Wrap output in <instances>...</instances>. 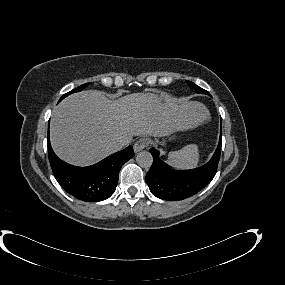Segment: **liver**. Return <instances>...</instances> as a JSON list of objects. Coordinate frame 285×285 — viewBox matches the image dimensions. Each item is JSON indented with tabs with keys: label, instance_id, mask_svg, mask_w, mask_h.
Listing matches in <instances>:
<instances>
[{
	"label": "liver",
	"instance_id": "liver-1",
	"mask_svg": "<svg viewBox=\"0 0 285 285\" xmlns=\"http://www.w3.org/2000/svg\"><path fill=\"white\" fill-rule=\"evenodd\" d=\"M205 117L198 102L163 101L151 93H134L111 101L96 90L65 98L54 110L50 141L57 156L73 165L94 164L112 154L111 143L133 136H167L193 129Z\"/></svg>",
	"mask_w": 285,
	"mask_h": 285
}]
</instances>
